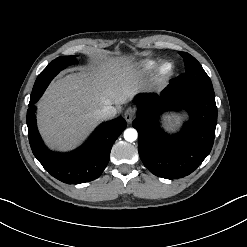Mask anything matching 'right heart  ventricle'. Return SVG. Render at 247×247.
Masks as SVG:
<instances>
[{"instance_id":"e07e8e85","label":"right heart ventricle","mask_w":247,"mask_h":247,"mask_svg":"<svg viewBox=\"0 0 247 247\" xmlns=\"http://www.w3.org/2000/svg\"><path fill=\"white\" fill-rule=\"evenodd\" d=\"M159 64L158 60L155 59H145L141 61L138 65V68L143 73H150L152 72Z\"/></svg>"}]
</instances>
